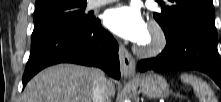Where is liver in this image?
<instances>
[{"label":"liver","mask_w":221,"mask_h":102,"mask_svg":"<svg viewBox=\"0 0 221 102\" xmlns=\"http://www.w3.org/2000/svg\"><path fill=\"white\" fill-rule=\"evenodd\" d=\"M94 69L74 64L48 67L25 87L22 102H92ZM110 97L115 86L108 80Z\"/></svg>","instance_id":"1"}]
</instances>
